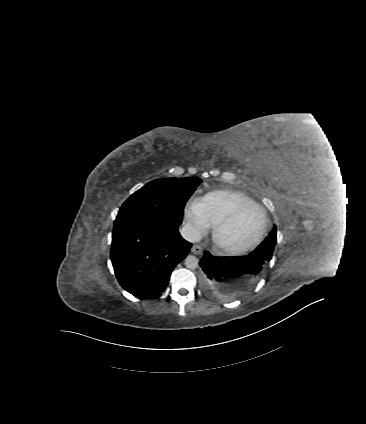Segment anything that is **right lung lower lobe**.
Segmentation results:
<instances>
[{
	"label": "right lung lower lobe",
	"instance_id": "1",
	"mask_svg": "<svg viewBox=\"0 0 366 424\" xmlns=\"http://www.w3.org/2000/svg\"><path fill=\"white\" fill-rule=\"evenodd\" d=\"M192 244L178 227L143 216L114 222L111 260L120 285L140 298L155 297L167 286L174 267Z\"/></svg>",
	"mask_w": 366,
	"mask_h": 424
}]
</instances>
